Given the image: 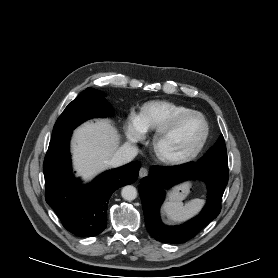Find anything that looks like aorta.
Masks as SVG:
<instances>
[{
	"mask_svg": "<svg viewBox=\"0 0 278 278\" xmlns=\"http://www.w3.org/2000/svg\"><path fill=\"white\" fill-rule=\"evenodd\" d=\"M121 195L124 200L132 201L137 197V190L134 186L127 185L122 188Z\"/></svg>",
	"mask_w": 278,
	"mask_h": 278,
	"instance_id": "1",
	"label": "aorta"
}]
</instances>
